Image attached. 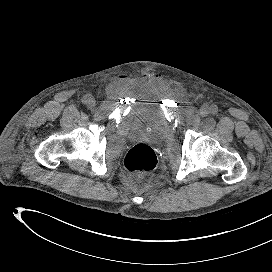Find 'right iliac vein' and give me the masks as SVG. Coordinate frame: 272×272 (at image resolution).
I'll return each mask as SVG.
<instances>
[{
    "label": "right iliac vein",
    "mask_w": 272,
    "mask_h": 272,
    "mask_svg": "<svg viewBox=\"0 0 272 272\" xmlns=\"http://www.w3.org/2000/svg\"><path fill=\"white\" fill-rule=\"evenodd\" d=\"M88 105H89L90 108L95 107L96 102H95L94 98H89Z\"/></svg>",
    "instance_id": "63e3f726"
}]
</instances>
